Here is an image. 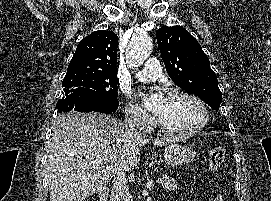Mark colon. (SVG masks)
<instances>
[{"label":"colon","mask_w":271,"mask_h":201,"mask_svg":"<svg viewBox=\"0 0 271 201\" xmlns=\"http://www.w3.org/2000/svg\"><path fill=\"white\" fill-rule=\"evenodd\" d=\"M225 149L221 144L215 145L209 151V170L212 175L217 174L224 163Z\"/></svg>","instance_id":"colon-1"}]
</instances>
